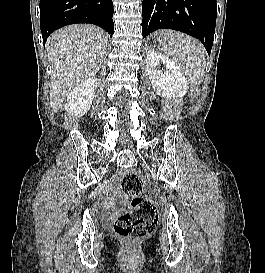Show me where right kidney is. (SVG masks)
<instances>
[{
    "label": "right kidney",
    "instance_id": "right-kidney-1",
    "mask_svg": "<svg viewBox=\"0 0 265 273\" xmlns=\"http://www.w3.org/2000/svg\"><path fill=\"white\" fill-rule=\"evenodd\" d=\"M98 80L90 77L79 83L67 96L64 108L67 113L74 116H83L90 109L94 99Z\"/></svg>",
    "mask_w": 265,
    "mask_h": 273
}]
</instances>
